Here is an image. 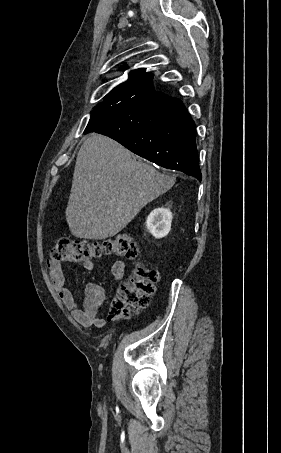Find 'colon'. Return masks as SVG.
I'll list each match as a JSON object with an SVG mask.
<instances>
[{
  "instance_id": "1",
  "label": "colon",
  "mask_w": 281,
  "mask_h": 453,
  "mask_svg": "<svg viewBox=\"0 0 281 453\" xmlns=\"http://www.w3.org/2000/svg\"><path fill=\"white\" fill-rule=\"evenodd\" d=\"M140 251L134 239L111 238L93 241L84 238L59 237L50 254L53 262H94L101 257L138 258ZM159 280L156 270L138 265L127 278L112 305L116 314L141 309L149 302L154 284Z\"/></svg>"
}]
</instances>
